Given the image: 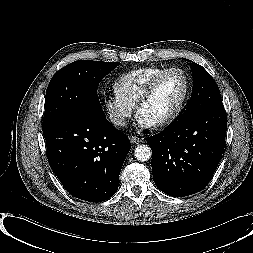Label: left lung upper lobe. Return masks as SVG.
Masks as SVG:
<instances>
[{"mask_svg":"<svg viewBox=\"0 0 253 253\" xmlns=\"http://www.w3.org/2000/svg\"><path fill=\"white\" fill-rule=\"evenodd\" d=\"M190 67L193 74V91L189 104L180 118L222 103L219 88L211 75L201 65L194 62L190 64Z\"/></svg>","mask_w":253,"mask_h":253,"instance_id":"5c2ea615","label":"left lung upper lobe"}]
</instances>
